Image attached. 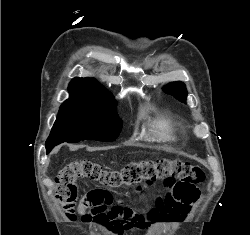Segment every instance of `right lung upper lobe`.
<instances>
[{
	"label": "right lung upper lobe",
	"instance_id": "cb5924a9",
	"mask_svg": "<svg viewBox=\"0 0 250 235\" xmlns=\"http://www.w3.org/2000/svg\"><path fill=\"white\" fill-rule=\"evenodd\" d=\"M70 98L68 100L106 101L114 99L113 96L93 78H74L68 87Z\"/></svg>",
	"mask_w": 250,
	"mask_h": 235
}]
</instances>
